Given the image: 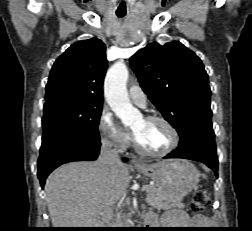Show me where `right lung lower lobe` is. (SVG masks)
Listing matches in <instances>:
<instances>
[{
  "mask_svg": "<svg viewBox=\"0 0 252 231\" xmlns=\"http://www.w3.org/2000/svg\"><path fill=\"white\" fill-rule=\"evenodd\" d=\"M100 140L64 135L42 143L37 175L44 188L47 176L58 166L71 161H91L98 157Z\"/></svg>",
  "mask_w": 252,
  "mask_h": 231,
  "instance_id": "right-lung-lower-lobe-1",
  "label": "right lung lower lobe"
}]
</instances>
